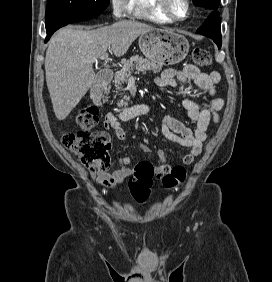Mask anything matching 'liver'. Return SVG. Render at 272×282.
Listing matches in <instances>:
<instances>
[{
    "label": "liver",
    "mask_w": 272,
    "mask_h": 282,
    "mask_svg": "<svg viewBox=\"0 0 272 282\" xmlns=\"http://www.w3.org/2000/svg\"><path fill=\"white\" fill-rule=\"evenodd\" d=\"M153 29L131 20H121L94 30L60 29L50 40L45 57L46 83L55 116L64 120L95 81L93 63L111 47L123 56L135 39Z\"/></svg>",
    "instance_id": "liver-1"
}]
</instances>
